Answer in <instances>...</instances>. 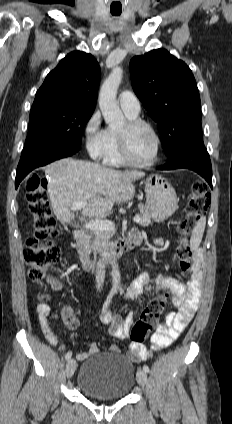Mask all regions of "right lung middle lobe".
Listing matches in <instances>:
<instances>
[{
	"mask_svg": "<svg viewBox=\"0 0 232 424\" xmlns=\"http://www.w3.org/2000/svg\"><path fill=\"white\" fill-rule=\"evenodd\" d=\"M94 110L69 105L31 109L29 131L22 154L42 144L78 145Z\"/></svg>",
	"mask_w": 232,
	"mask_h": 424,
	"instance_id": "right-lung-middle-lobe-1",
	"label": "right lung middle lobe"
}]
</instances>
